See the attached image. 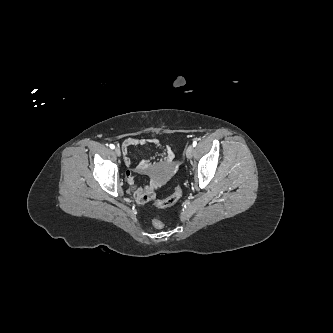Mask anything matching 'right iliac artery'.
Wrapping results in <instances>:
<instances>
[{"mask_svg":"<svg viewBox=\"0 0 333 333\" xmlns=\"http://www.w3.org/2000/svg\"><path fill=\"white\" fill-rule=\"evenodd\" d=\"M110 148H111V149H114L115 146H114L113 144H110Z\"/></svg>","mask_w":333,"mask_h":333,"instance_id":"obj_1","label":"right iliac artery"}]
</instances>
